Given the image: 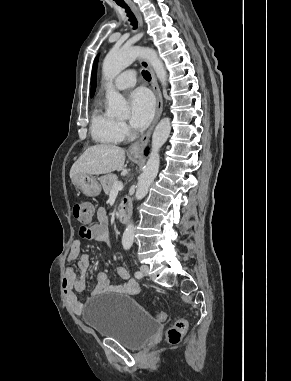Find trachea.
<instances>
[{
	"label": "trachea",
	"mask_w": 291,
	"mask_h": 381,
	"mask_svg": "<svg viewBox=\"0 0 291 381\" xmlns=\"http://www.w3.org/2000/svg\"><path fill=\"white\" fill-rule=\"evenodd\" d=\"M115 1L119 6H121L122 8H125L127 16L129 18V21L131 22V25L134 27V29H136L137 28V20H136L134 14L132 13V11L127 7V5L124 2H119L117 0H115ZM142 75H143L145 80H147V81L151 80V74L148 71L143 70Z\"/></svg>",
	"instance_id": "obj_1"
}]
</instances>
